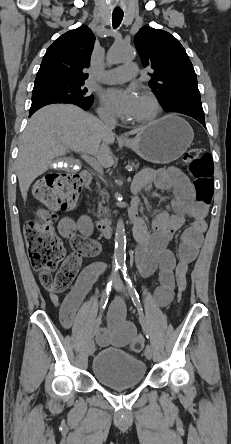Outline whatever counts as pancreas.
Returning a JSON list of instances; mask_svg holds the SVG:
<instances>
[{"label":"pancreas","instance_id":"obj_1","mask_svg":"<svg viewBox=\"0 0 231 444\" xmlns=\"http://www.w3.org/2000/svg\"><path fill=\"white\" fill-rule=\"evenodd\" d=\"M128 166L131 167V168H134V169H138L139 166H140V164H139V162H137V161H131V162H129V165H128ZM103 195H104V192H103V191H100V196L103 197ZM100 207H101V203H100Z\"/></svg>","mask_w":231,"mask_h":444}]
</instances>
